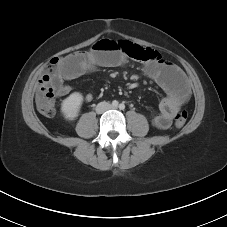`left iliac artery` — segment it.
<instances>
[{
    "label": "left iliac artery",
    "instance_id": "44dca946",
    "mask_svg": "<svg viewBox=\"0 0 227 227\" xmlns=\"http://www.w3.org/2000/svg\"><path fill=\"white\" fill-rule=\"evenodd\" d=\"M119 108H120L121 110H124V109H125V105H124L123 103H121V104L119 105Z\"/></svg>",
    "mask_w": 227,
    "mask_h": 227
}]
</instances>
